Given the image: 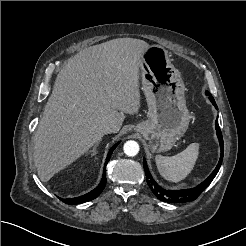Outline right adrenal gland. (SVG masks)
I'll list each match as a JSON object with an SVG mask.
<instances>
[{"label": "right adrenal gland", "mask_w": 246, "mask_h": 246, "mask_svg": "<svg viewBox=\"0 0 246 246\" xmlns=\"http://www.w3.org/2000/svg\"><path fill=\"white\" fill-rule=\"evenodd\" d=\"M99 144H100V141L99 142H97L96 144H95V146L90 150V152H92V156H95L96 154H97V148H98V146H99Z\"/></svg>", "instance_id": "1"}]
</instances>
